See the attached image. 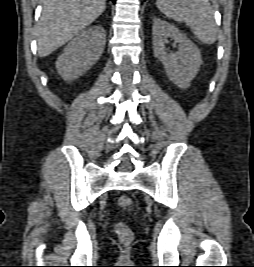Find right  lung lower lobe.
<instances>
[{"mask_svg":"<svg viewBox=\"0 0 254 267\" xmlns=\"http://www.w3.org/2000/svg\"><path fill=\"white\" fill-rule=\"evenodd\" d=\"M113 3H115L116 0H111Z\"/></svg>","mask_w":254,"mask_h":267,"instance_id":"1","label":"right lung lower lobe"}]
</instances>
